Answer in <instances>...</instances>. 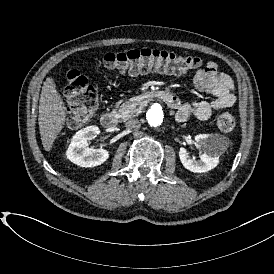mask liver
<instances>
[{
  "mask_svg": "<svg viewBox=\"0 0 274 274\" xmlns=\"http://www.w3.org/2000/svg\"><path fill=\"white\" fill-rule=\"evenodd\" d=\"M66 120V107L56 90L54 80L46 78L39 100L38 124L42 145L50 151Z\"/></svg>",
  "mask_w": 274,
  "mask_h": 274,
  "instance_id": "obj_1",
  "label": "liver"
}]
</instances>
